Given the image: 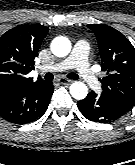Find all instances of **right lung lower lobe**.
<instances>
[{
    "mask_svg": "<svg viewBox=\"0 0 135 165\" xmlns=\"http://www.w3.org/2000/svg\"><path fill=\"white\" fill-rule=\"evenodd\" d=\"M53 89L51 81L32 85H14L1 89L0 116L16 124L37 120L48 108Z\"/></svg>",
    "mask_w": 135,
    "mask_h": 165,
    "instance_id": "right-lung-lower-lobe-1",
    "label": "right lung lower lobe"
}]
</instances>
